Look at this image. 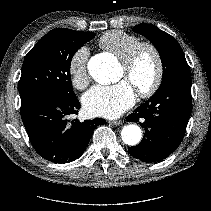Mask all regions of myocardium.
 <instances>
[{"mask_svg":"<svg viewBox=\"0 0 211 211\" xmlns=\"http://www.w3.org/2000/svg\"><path fill=\"white\" fill-rule=\"evenodd\" d=\"M143 50H149L153 54L156 69L152 82L145 88L137 89V92L140 97L149 98L157 92L164 77V63L159 48L150 41H140L127 53L121 63L125 70H131Z\"/></svg>","mask_w":211,"mask_h":211,"instance_id":"obj_1","label":"myocardium"}]
</instances>
